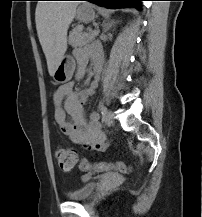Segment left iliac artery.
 I'll use <instances>...</instances> for the list:
<instances>
[{
	"label": "left iliac artery",
	"mask_w": 202,
	"mask_h": 217,
	"mask_svg": "<svg viewBox=\"0 0 202 217\" xmlns=\"http://www.w3.org/2000/svg\"><path fill=\"white\" fill-rule=\"evenodd\" d=\"M106 112H107L106 106L101 105V106H100V113L102 114L103 119H104V116H105Z\"/></svg>",
	"instance_id": "left-iliac-artery-1"
}]
</instances>
